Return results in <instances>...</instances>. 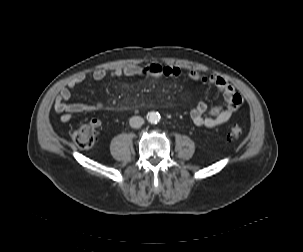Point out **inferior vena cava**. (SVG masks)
<instances>
[{
    "mask_svg": "<svg viewBox=\"0 0 303 252\" xmlns=\"http://www.w3.org/2000/svg\"><path fill=\"white\" fill-rule=\"evenodd\" d=\"M129 124L132 128H140L144 124V119L140 116H133L130 118Z\"/></svg>",
    "mask_w": 303,
    "mask_h": 252,
    "instance_id": "inferior-vena-cava-1",
    "label": "inferior vena cava"
}]
</instances>
